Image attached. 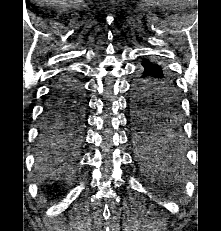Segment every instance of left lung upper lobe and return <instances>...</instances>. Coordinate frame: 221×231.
I'll list each match as a JSON object with an SVG mask.
<instances>
[{"instance_id":"5c2ea615","label":"left lung upper lobe","mask_w":221,"mask_h":231,"mask_svg":"<svg viewBox=\"0 0 221 231\" xmlns=\"http://www.w3.org/2000/svg\"><path fill=\"white\" fill-rule=\"evenodd\" d=\"M144 64H149L148 66L157 72L155 84L158 86L140 89V101L134 100L131 103V120L135 127V140L139 143L154 137L158 134V129L161 133L166 132L165 130L179 121V97L168 70L148 61L142 63ZM153 97L169 102L163 107H152L147 103Z\"/></svg>"}]
</instances>
